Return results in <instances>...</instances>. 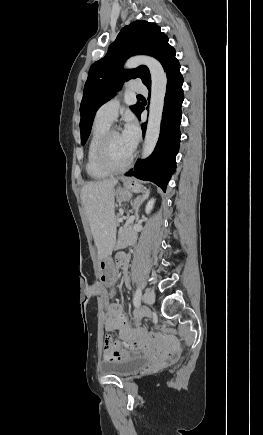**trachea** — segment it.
<instances>
[{
	"instance_id": "3493384b",
	"label": "trachea",
	"mask_w": 263,
	"mask_h": 435,
	"mask_svg": "<svg viewBox=\"0 0 263 435\" xmlns=\"http://www.w3.org/2000/svg\"><path fill=\"white\" fill-rule=\"evenodd\" d=\"M138 97H142V95H138Z\"/></svg>"
}]
</instances>
